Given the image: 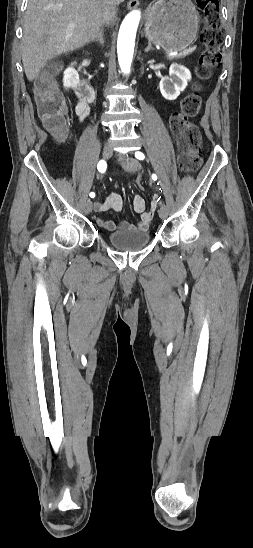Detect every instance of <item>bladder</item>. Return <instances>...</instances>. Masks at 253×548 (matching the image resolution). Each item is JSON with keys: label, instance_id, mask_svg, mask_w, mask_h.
I'll use <instances>...</instances> for the list:
<instances>
[{"label": "bladder", "instance_id": "bladder-1", "mask_svg": "<svg viewBox=\"0 0 253 548\" xmlns=\"http://www.w3.org/2000/svg\"><path fill=\"white\" fill-rule=\"evenodd\" d=\"M148 231H116L108 234V242L116 249L126 252L138 251L150 242Z\"/></svg>", "mask_w": 253, "mask_h": 548}]
</instances>
